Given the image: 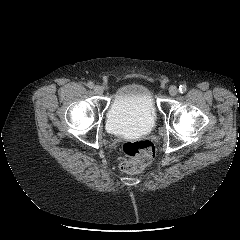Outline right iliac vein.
Listing matches in <instances>:
<instances>
[{
  "instance_id": "63e3f726",
  "label": "right iliac vein",
  "mask_w": 240,
  "mask_h": 240,
  "mask_svg": "<svg viewBox=\"0 0 240 240\" xmlns=\"http://www.w3.org/2000/svg\"><path fill=\"white\" fill-rule=\"evenodd\" d=\"M94 92L97 94V95H102L103 94V88L102 86L100 85H96L94 86Z\"/></svg>"
}]
</instances>
